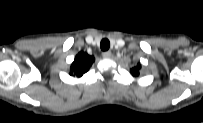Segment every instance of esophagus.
I'll return each instance as SVG.
<instances>
[{
	"instance_id": "esophagus-1",
	"label": "esophagus",
	"mask_w": 203,
	"mask_h": 123,
	"mask_svg": "<svg viewBox=\"0 0 203 123\" xmlns=\"http://www.w3.org/2000/svg\"><path fill=\"white\" fill-rule=\"evenodd\" d=\"M103 58H110L112 56V53L110 51H105L102 53Z\"/></svg>"
}]
</instances>
